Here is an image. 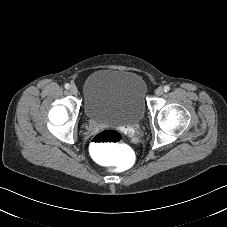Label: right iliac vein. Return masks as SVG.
I'll use <instances>...</instances> for the list:
<instances>
[{
    "label": "right iliac vein",
    "mask_w": 227,
    "mask_h": 227,
    "mask_svg": "<svg viewBox=\"0 0 227 227\" xmlns=\"http://www.w3.org/2000/svg\"><path fill=\"white\" fill-rule=\"evenodd\" d=\"M70 93H71L72 95H77V94H78V89H77V87H76L75 85H72V86L70 87Z\"/></svg>",
    "instance_id": "63e3f726"
}]
</instances>
